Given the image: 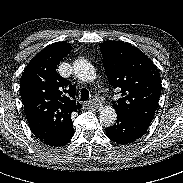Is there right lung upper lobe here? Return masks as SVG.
Wrapping results in <instances>:
<instances>
[{"instance_id":"obj_1","label":"right lung upper lobe","mask_w":183,"mask_h":183,"mask_svg":"<svg viewBox=\"0 0 183 183\" xmlns=\"http://www.w3.org/2000/svg\"><path fill=\"white\" fill-rule=\"evenodd\" d=\"M70 50L69 43H53L39 52L22 73L21 100L30 129L38 139H59L74 132L71 114L80 111L82 105L75 102V86L56 71Z\"/></svg>"}]
</instances>
